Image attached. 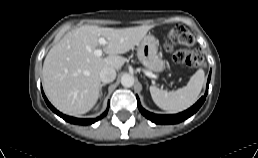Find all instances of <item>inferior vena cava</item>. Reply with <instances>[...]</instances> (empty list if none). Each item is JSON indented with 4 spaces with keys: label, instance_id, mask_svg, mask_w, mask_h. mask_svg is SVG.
<instances>
[{
    "label": "inferior vena cava",
    "instance_id": "obj_1",
    "mask_svg": "<svg viewBox=\"0 0 258 158\" xmlns=\"http://www.w3.org/2000/svg\"><path fill=\"white\" fill-rule=\"evenodd\" d=\"M99 77L103 83L113 82L116 78V71L111 67L102 68L99 72Z\"/></svg>",
    "mask_w": 258,
    "mask_h": 158
}]
</instances>
